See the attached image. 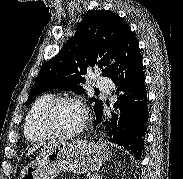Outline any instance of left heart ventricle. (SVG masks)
<instances>
[{
    "label": "left heart ventricle",
    "mask_w": 183,
    "mask_h": 179,
    "mask_svg": "<svg viewBox=\"0 0 183 179\" xmlns=\"http://www.w3.org/2000/svg\"><path fill=\"white\" fill-rule=\"evenodd\" d=\"M83 114L81 109L72 103H61L52 112L49 125L58 133H70L81 124Z\"/></svg>",
    "instance_id": "1"
}]
</instances>
